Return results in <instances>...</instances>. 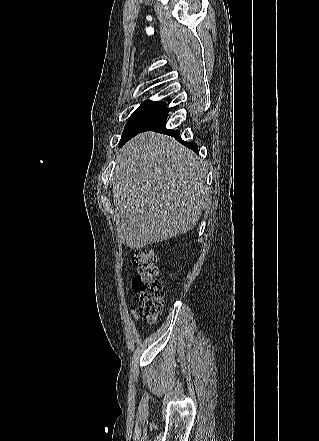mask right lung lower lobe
I'll list each match as a JSON object with an SVG mask.
<instances>
[{
	"label": "right lung lower lobe",
	"instance_id": "98d812e1",
	"mask_svg": "<svg viewBox=\"0 0 319 441\" xmlns=\"http://www.w3.org/2000/svg\"><path fill=\"white\" fill-rule=\"evenodd\" d=\"M168 117V112L162 115L160 118H158L156 121H154L152 124L147 126L142 132L144 131H155L160 133H165L168 135H171L178 139L180 142H182L181 138L179 137V130H168L165 128L166 119ZM188 148L192 149L196 153H198V147L197 144L194 142H188L184 143Z\"/></svg>",
	"mask_w": 319,
	"mask_h": 441
}]
</instances>
